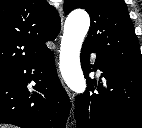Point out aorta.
I'll return each mask as SVG.
<instances>
[{
    "label": "aorta",
    "instance_id": "aorta-1",
    "mask_svg": "<svg viewBox=\"0 0 142 128\" xmlns=\"http://www.w3.org/2000/svg\"><path fill=\"white\" fill-rule=\"evenodd\" d=\"M90 27L85 11L71 13L65 21L60 47V71L66 85L77 94H83L86 81L80 65V51Z\"/></svg>",
    "mask_w": 142,
    "mask_h": 128
}]
</instances>
